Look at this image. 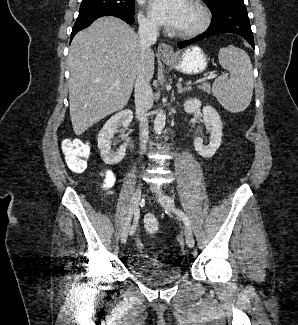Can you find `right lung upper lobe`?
I'll return each instance as SVG.
<instances>
[{
  "instance_id": "1",
  "label": "right lung upper lobe",
  "mask_w": 298,
  "mask_h": 325,
  "mask_svg": "<svg viewBox=\"0 0 298 325\" xmlns=\"http://www.w3.org/2000/svg\"><path fill=\"white\" fill-rule=\"evenodd\" d=\"M114 12H117V11H113V10H104V11H101V12H98V13H114ZM119 13V12H117ZM97 14V13H96Z\"/></svg>"
}]
</instances>
